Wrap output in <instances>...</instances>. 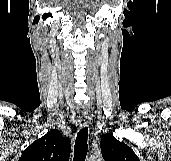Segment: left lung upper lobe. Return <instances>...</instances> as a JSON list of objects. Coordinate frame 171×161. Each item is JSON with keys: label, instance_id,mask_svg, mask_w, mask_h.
<instances>
[{"label": "left lung upper lobe", "instance_id": "obj_1", "mask_svg": "<svg viewBox=\"0 0 171 161\" xmlns=\"http://www.w3.org/2000/svg\"><path fill=\"white\" fill-rule=\"evenodd\" d=\"M100 146L105 161H139L133 150L125 143L115 139L111 133L101 138Z\"/></svg>", "mask_w": 171, "mask_h": 161}]
</instances>
